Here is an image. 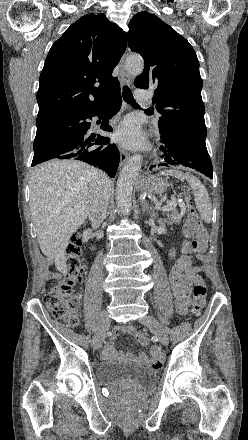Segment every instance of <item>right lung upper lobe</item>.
I'll return each instance as SVG.
<instances>
[{
  "mask_svg": "<svg viewBox=\"0 0 248 440\" xmlns=\"http://www.w3.org/2000/svg\"><path fill=\"white\" fill-rule=\"evenodd\" d=\"M126 43L127 34L104 14L85 15L72 24L52 45L41 72L37 126L106 101L115 92L118 80L112 71Z\"/></svg>",
  "mask_w": 248,
  "mask_h": 440,
  "instance_id": "1",
  "label": "right lung upper lobe"
}]
</instances>
